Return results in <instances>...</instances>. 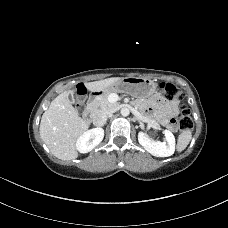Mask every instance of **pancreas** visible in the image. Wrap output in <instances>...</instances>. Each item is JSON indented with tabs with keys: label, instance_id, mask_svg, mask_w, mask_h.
Returning a JSON list of instances; mask_svg holds the SVG:
<instances>
[{
	"label": "pancreas",
	"instance_id": "1",
	"mask_svg": "<svg viewBox=\"0 0 228 228\" xmlns=\"http://www.w3.org/2000/svg\"><path fill=\"white\" fill-rule=\"evenodd\" d=\"M113 94L109 93L98 97L93 103L94 109L97 112L115 111L119 107V103L109 100Z\"/></svg>",
	"mask_w": 228,
	"mask_h": 228
}]
</instances>
